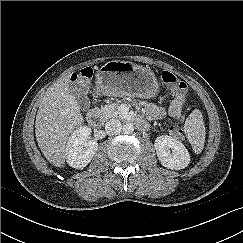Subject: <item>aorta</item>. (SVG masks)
Returning <instances> with one entry per match:
<instances>
[{"instance_id":"762f6f07","label":"aorta","mask_w":243,"mask_h":243,"mask_svg":"<svg viewBox=\"0 0 243 243\" xmlns=\"http://www.w3.org/2000/svg\"><path fill=\"white\" fill-rule=\"evenodd\" d=\"M134 131V126L132 123H127L123 126V132L125 134H132Z\"/></svg>"}]
</instances>
